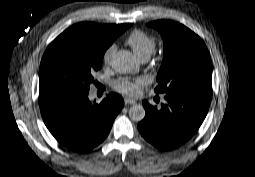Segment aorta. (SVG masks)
Segmentation results:
<instances>
[{"mask_svg":"<svg viewBox=\"0 0 255 177\" xmlns=\"http://www.w3.org/2000/svg\"><path fill=\"white\" fill-rule=\"evenodd\" d=\"M111 64L113 69L120 74L135 73L139 69L132 53L127 50L117 51L113 55ZM128 114L132 121L140 122L145 117V109L140 104H134L130 107Z\"/></svg>","mask_w":255,"mask_h":177,"instance_id":"obj_1","label":"aorta"}]
</instances>
